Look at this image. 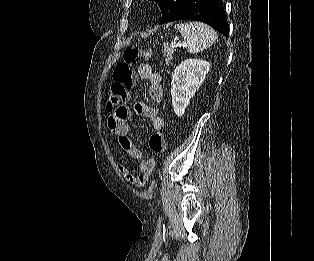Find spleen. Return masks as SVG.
Segmentation results:
<instances>
[{
	"label": "spleen",
	"instance_id": "obj_1",
	"mask_svg": "<svg viewBox=\"0 0 314 261\" xmlns=\"http://www.w3.org/2000/svg\"><path fill=\"white\" fill-rule=\"evenodd\" d=\"M183 39L188 43L189 53L201 52L217 40V33L208 25L201 22L181 23L175 25Z\"/></svg>",
	"mask_w": 314,
	"mask_h": 261
}]
</instances>
